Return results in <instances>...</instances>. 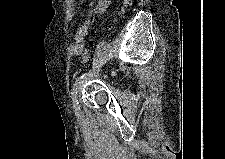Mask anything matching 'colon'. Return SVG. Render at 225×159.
I'll list each match as a JSON object with an SVG mask.
<instances>
[{
    "instance_id": "colon-1",
    "label": "colon",
    "mask_w": 225,
    "mask_h": 159,
    "mask_svg": "<svg viewBox=\"0 0 225 159\" xmlns=\"http://www.w3.org/2000/svg\"><path fill=\"white\" fill-rule=\"evenodd\" d=\"M130 4V0H122V4H121V8H120V14H123L125 12V10L127 9V7ZM83 62L85 64H89L91 62V53L90 50H86L83 54Z\"/></svg>"
}]
</instances>
